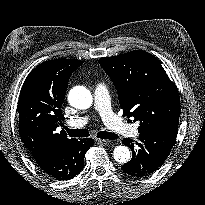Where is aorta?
<instances>
[{
    "label": "aorta",
    "mask_w": 205,
    "mask_h": 205,
    "mask_svg": "<svg viewBox=\"0 0 205 205\" xmlns=\"http://www.w3.org/2000/svg\"><path fill=\"white\" fill-rule=\"evenodd\" d=\"M68 101L74 108L85 110L92 105L93 97L86 87L75 86L69 91ZM113 157L118 163H127L130 160V150L124 145L117 146L113 151Z\"/></svg>",
    "instance_id": "aorta-1"
}]
</instances>
